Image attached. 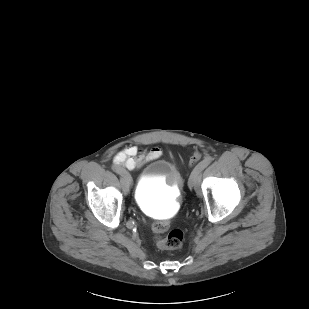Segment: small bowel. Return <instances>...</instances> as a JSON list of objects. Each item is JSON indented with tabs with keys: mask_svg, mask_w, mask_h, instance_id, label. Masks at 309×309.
Masks as SVG:
<instances>
[{
	"mask_svg": "<svg viewBox=\"0 0 309 309\" xmlns=\"http://www.w3.org/2000/svg\"><path fill=\"white\" fill-rule=\"evenodd\" d=\"M161 153V149L158 147L140 151L136 146H128L115 154L114 163L130 170L138 169L145 163L159 158Z\"/></svg>",
	"mask_w": 309,
	"mask_h": 309,
	"instance_id": "obj_1",
	"label": "small bowel"
}]
</instances>
